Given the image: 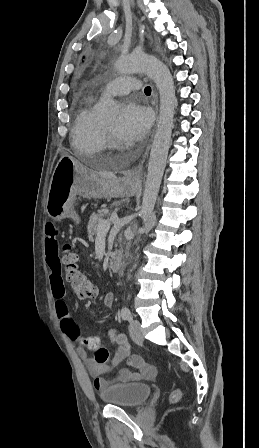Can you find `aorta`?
<instances>
[{"label":"aorta","instance_id":"obj_1","mask_svg":"<svg viewBox=\"0 0 259 448\" xmlns=\"http://www.w3.org/2000/svg\"><path fill=\"white\" fill-rule=\"evenodd\" d=\"M116 69L122 75L146 73L155 82L160 95L159 119L151 147L140 211V216L145 223L154 209L166 166L176 107L175 87L167 66L150 55L139 54L122 57L118 60ZM100 111L106 117L114 116L117 113L114 100L112 98L104 99L100 105Z\"/></svg>","mask_w":259,"mask_h":448}]
</instances>
